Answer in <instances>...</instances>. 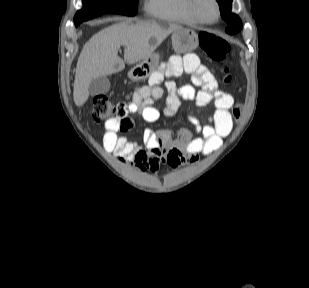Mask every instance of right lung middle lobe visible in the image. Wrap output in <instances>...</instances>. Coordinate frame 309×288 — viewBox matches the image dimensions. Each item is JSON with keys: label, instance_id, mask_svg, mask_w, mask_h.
Here are the masks:
<instances>
[{"label": "right lung middle lobe", "instance_id": "obj_1", "mask_svg": "<svg viewBox=\"0 0 309 288\" xmlns=\"http://www.w3.org/2000/svg\"><path fill=\"white\" fill-rule=\"evenodd\" d=\"M83 8L74 17L75 26L105 13L134 16L138 0H82Z\"/></svg>", "mask_w": 309, "mask_h": 288}]
</instances>
